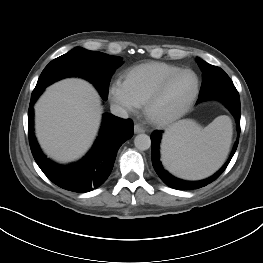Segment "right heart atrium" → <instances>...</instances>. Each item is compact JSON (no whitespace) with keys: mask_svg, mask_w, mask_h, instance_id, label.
I'll return each instance as SVG.
<instances>
[{"mask_svg":"<svg viewBox=\"0 0 263 263\" xmlns=\"http://www.w3.org/2000/svg\"><path fill=\"white\" fill-rule=\"evenodd\" d=\"M108 96L111 103L122 113H132L139 107V104L129 94L126 86L120 80L114 81L109 86Z\"/></svg>","mask_w":263,"mask_h":263,"instance_id":"d8ad5b80","label":"right heart atrium"}]
</instances>
